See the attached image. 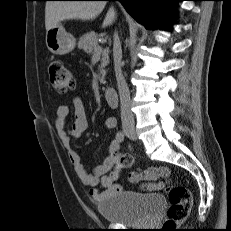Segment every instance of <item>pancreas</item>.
<instances>
[{
	"label": "pancreas",
	"instance_id": "cf45deb5",
	"mask_svg": "<svg viewBox=\"0 0 231 231\" xmlns=\"http://www.w3.org/2000/svg\"><path fill=\"white\" fill-rule=\"evenodd\" d=\"M78 48L79 49H83L86 53L88 54H96L97 49L100 48L99 44H98V35L95 32H89L84 34L79 42H78ZM109 51L108 50H101L100 51V55H102V60H101V65H100V69H101V83H105L104 77L106 74V71L104 70V68L108 65L109 63Z\"/></svg>",
	"mask_w": 231,
	"mask_h": 231
}]
</instances>
